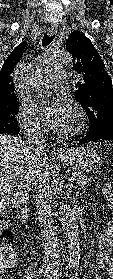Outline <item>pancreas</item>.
Listing matches in <instances>:
<instances>
[{"mask_svg": "<svg viewBox=\"0 0 113 279\" xmlns=\"http://www.w3.org/2000/svg\"><path fill=\"white\" fill-rule=\"evenodd\" d=\"M72 176L80 186L86 185L88 182L92 181L93 179L92 177H89L88 175L81 172H75L73 173Z\"/></svg>", "mask_w": 113, "mask_h": 279, "instance_id": "obj_1", "label": "pancreas"}]
</instances>
